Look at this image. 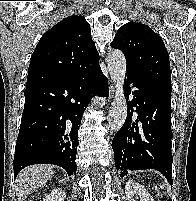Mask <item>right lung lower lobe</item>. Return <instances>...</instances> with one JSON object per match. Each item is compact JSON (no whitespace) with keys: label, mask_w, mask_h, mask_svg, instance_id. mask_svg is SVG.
Returning <instances> with one entry per match:
<instances>
[{"label":"right lung lower lobe","mask_w":196,"mask_h":201,"mask_svg":"<svg viewBox=\"0 0 196 201\" xmlns=\"http://www.w3.org/2000/svg\"><path fill=\"white\" fill-rule=\"evenodd\" d=\"M107 80L99 63L78 74L25 89L15 146L14 177L33 164H54L76 173L78 128L93 95H104Z\"/></svg>","instance_id":"1"}]
</instances>
